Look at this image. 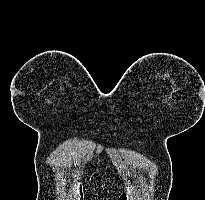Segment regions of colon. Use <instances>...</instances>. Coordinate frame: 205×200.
Returning <instances> with one entry per match:
<instances>
[{
    "label": "colon",
    "mask_w": 205,
    "mask_h": 200,
    "mask_svg": "<svg viewBox=\"0 0 205 200\" xmlns=\"http://www.w3.org/2000/svg\"><path fill=\"white\" fill-rule=\"evenodd\" d=\"M74 199L75 200H83V191L81 186L77 185L74 189ZM119 200H128V195H123L119 198Z\"/></svg>",
    "instance_id": "1"
}]
</instances>
